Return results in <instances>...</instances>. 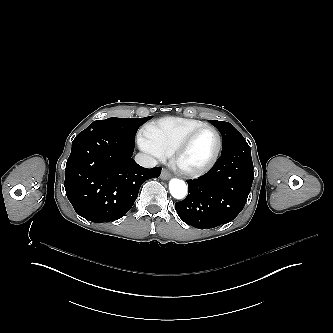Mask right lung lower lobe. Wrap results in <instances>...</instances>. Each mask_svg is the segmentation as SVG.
<instances>
[{"label":"right lung lower lobe","mask_w":333,"mask_h":333,"mask_svg":"<svg viewBox=\"0 0 333 333\" xmlns=\"http://www.w3.org/2000/svg\"><path fill=\"white\" fill-rule=\"evenodd\" d=\"M135 140L97 131L79 133L66 163L65 191L74 210L93 222L122 218L133 206L142 183L159 177L132 159Z\"/></svg>","instance_id":"obj_1"}]
</instances>
